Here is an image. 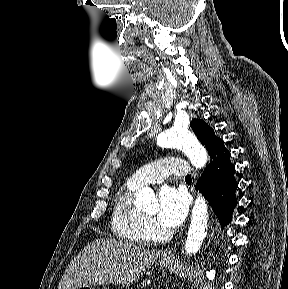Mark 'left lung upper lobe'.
Listing matches in <instances>:
<instances>
[{
  "instance_id": "5c2ea615",
  "label": "left lung upper lobe",
  "mask_w": 288,
  "mask_h": 289,
  "mask_svg": "<svg viewBox=\"0 0 288 289\" xmlns=\"http://www.w3.org/2000/svg\"><path fill=\"white\" fill-rule=\"evenodd\" d=\"M190 126L208 152H211L217 142L221 140L219 137L215 136L213 129L202 120L193 119Z\"/></svg>"
}]
</instances>
